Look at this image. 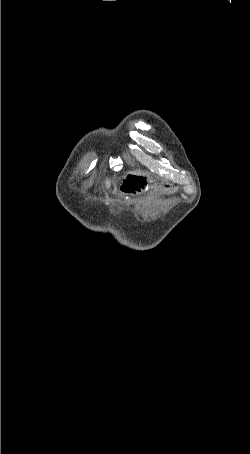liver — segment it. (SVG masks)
I'll list each match as a JSON object with an SVG mask.
<instances>
[{"label":"liver","instance_id":"liver-1","mask_svg":"<svg viewBox=\"0 0 250 454\" xmlns=\"http://www.w3.org/2000/svg\"><path fill=\"white\" fill-rule=\"evenodd\" d=\"M106 186H107V187L110 186V181H109V180L106 181Z\"/></svg>","mask_w":250,"mask_h":454}]
</instances>
